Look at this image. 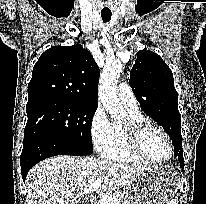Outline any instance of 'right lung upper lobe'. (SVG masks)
<instances>
[{
    "mask_svg": "<svg viewBox=\"0 0 206 204\" xmlns=\"http://www.w3.org/2000/svg\"><path fill=\"white\" fill-rule=\"evenodd\" d=\"M100 70L80 44L53 46L34 65L28 101L55 98L97 104Z\"/></svg>",
    "mask_w": 206,
    "mask_h": 204,
    "instance_id": "obj_1",
    "label": "right lung upper lobe"
}]
</instances>
